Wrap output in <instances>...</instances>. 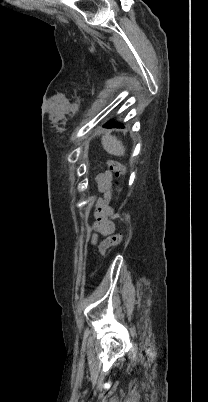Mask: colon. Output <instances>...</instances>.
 <instances>
[{"label":"colon","mask_w":208,"mask_h":402,"mask_svg":"<svg viewBox=\"0 0 208 402\" xmlns=\"http://www.w3.org/2000/svg\"><path fill=\"white\" fill-rule=\"evenodd\" d=\"M108 169L112 172H115L118 176L123 177L126 175L127 172V168L124 164L116 161V160H110L108 161ZM122 184H118L117 185V190L120 192L122 191ZM125 238V232L124 231H120L117 234H112L107 236L99 245V253L102 256H105L107 253V250L109 248L118 246L121 244V242L124 240Z\"/></svg>","instance_id":"obj_1"}]
</instances>
